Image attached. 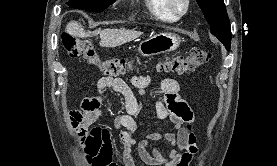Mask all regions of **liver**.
<instances>
[{"mask_svg":"<svg viewBox=\"0 0 277 166\" xmlns=\"http://www.w3.org/2000/svg\"><path fill=\"white\" fill-rule=\"evenodd\" d=\"M66 32L74 37L85 38L91 35H100L101 47H116L130 42L142 35L139 31L126 29H103L94 32H86L81 24L76 21H70L66 26Z\"/></svg>","mask_w":277,"mask_h":166,"instance_id":"6515ba94","label":"liver"}]
</instances>
